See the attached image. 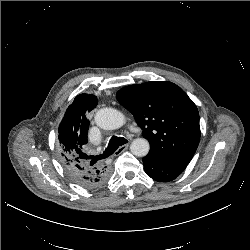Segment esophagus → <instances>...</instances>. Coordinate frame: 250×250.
I'll list each match as a JSON object with an SVG mask.
<instances>
[{
	"mask_svg": "<svg viewBox=\"0 0 250 250\" xmlns=\"http://www.w3.org/2000/svg\"><path fill=\"white\" fill-rule=\"evenodd\" d=\"M128 148V144H124L120 146L117 151L115 152L116 155L121 154L123 151H125Z\"/></svg>",
	"mask_w": 250,
	"mask_h": 250,
	"instance_id": "34e87169",
	"label": "esophagus"
}]
</instances>
